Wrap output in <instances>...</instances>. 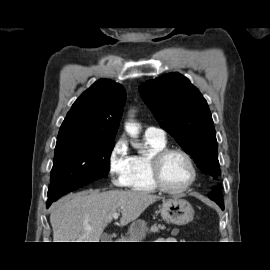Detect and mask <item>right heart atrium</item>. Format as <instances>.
I'll return each mask as SVG.
<instances>
[{"label": "right heart atrium", "mask_w": 270, "mask_h": 270, "mask_svg": "<svg viewBox=\"0 0 270 270\" xmlns=\"http://www.w3.org/2000/svg\"><path fill=\"white\" fill-rule=\"evenodd\" d=\"M131 160L128 144L124 138L118 139L108 154V174L111 182L116 187H128Z\"/></svg>", "instance_id": "d8ad5b80"}]
</instances>
